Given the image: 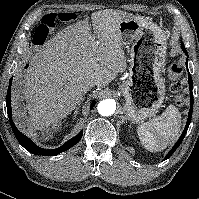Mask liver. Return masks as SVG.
I'll list each match as a JSON object with an SVG mask.
<instances>
[{"label": "liver", "mask_w": 199, "mask_h": 199, "mask_svg": "<svg viewBox=\"0 0 199 199\" xmlns=\"http://www.w3.org/2000/svg\"><path fill=\"white\" fill-rule=\"evenodd\" d=\"M128 15L113 9L94 12L97 41L88 20H82L58 32L30 57L22 91L31 128L57 126L82 101L88 81L105 88L126 70L118 25Z\"/></svg>", "instance_id": "6515ba94"}]
</instances>
